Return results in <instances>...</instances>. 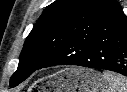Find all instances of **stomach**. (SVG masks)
<instances>
[{
	"label": "stomach",
	"mask_w": 127,
	"mask_h": 92,
	"mask_svg": "<svg viewBox=\"0 0 127 92\" xmlns=\"http://www.w3.org/2000/svg\"><path fill=\"white\" fill-rule=\"evenodd\" d=\"M53 92H103L107 83L93 69L68 67L53 74L49 79Z\"/></svg>",
	"instance_id": "stomach-1"
}]
</instances>
